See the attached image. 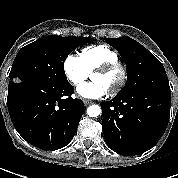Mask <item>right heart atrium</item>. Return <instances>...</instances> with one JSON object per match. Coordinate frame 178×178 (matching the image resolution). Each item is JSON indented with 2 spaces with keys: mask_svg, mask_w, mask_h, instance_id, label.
Wrapping results in <instances>:
<instances>
[{
  "mask_svg": "<svg viewBox=\"0 0 178 178\" xmlns=\"http://www.w3.org/2000/svg\"><path fill=\"white\" fill-rule=\"evenodd\" d=\"M63 70L67 80L73 85L81 84L89 76V71L80 57L72 54L65 58Z\"/></svg>",
  "mask_w": 178,
  "mask_h": 178,
  "instance_id": "right-heart-atrium-1",
  "label": "right heart atrium"
}]
</instances>
